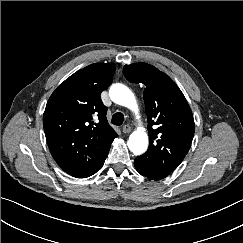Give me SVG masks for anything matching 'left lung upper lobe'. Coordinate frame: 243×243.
I'll use <instances>...</instances> for the list:
<instances>
[{
  "label": "left lung upper lobe",
  "mask_w": 243,
  "mask_h": 243,
  "mask_svg": "<svg viewBox=\"0 0 243 243\" xmlns=\"http://www.w3.org/2000/svg\"><path fill=\"white\" fill-rule=\"evenodd\" d=\"M123 74L128 81L146 86L143 98L149 148L136 159L171 173L188 153L194 136L195 124L190 106L175 82L152 65H125Z\"/></svg>",
  "instance_id": "left-lung-upper-lobe-1"
}]
</instances>
